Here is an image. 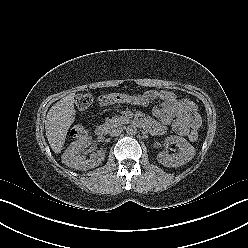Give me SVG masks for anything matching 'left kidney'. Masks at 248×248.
<instances>
[{"label": "left kidney", "mask_w": 248, "mask_h": 248, "mask_svg": "<svg viewBox=\"0 0 248 248\" xmlns=\"http://www.w3.org/2000/svg\"><path fill=\"white\" fill-rule=\"evenodd\" d=\"M165 144H174L179 148V153L168 154L160 152L157 155L158 162L166 167H178L189 162L195 155V148L183 137L170 136L165 139Z\"/></svg>", "instance_id": "1"}]
</instances>
